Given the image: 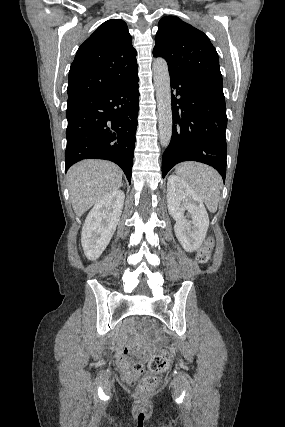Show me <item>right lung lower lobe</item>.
I'll return each instance as SVG.
<instances>
[{
	"mask_svg": "<svg viewBox=\"0 0 285 427\" xmlns=\"http://www.w3.org/2000/svg\"><path fill=\"white\" fill-rule=\"evenodd\" d=\"M138 76L67 105L65 170L83 159L109 160L131 181L139 110Z\"/></svg>",
	"mask_w": 285,
	"mask_h": 427,
	"instance_id": "1",
	"label": "right lung lower lobe"
}]
</instances>
